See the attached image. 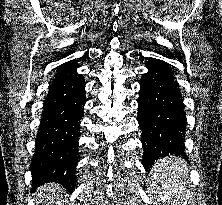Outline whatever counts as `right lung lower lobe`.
<instances>
[{"instance_id":"1","label":"right lung lower lobe","mask_w":222,"mask_h":205,"mask_svg":"<svg viewBox=\"0 0 222 205\" xmlns=\"http://www.w3.org/2000/svg\"><path fill=\"white\" fill-rule=\"evenodd\" d=\"M84 86L83 75L77 74L76 68L55 74L44 102L36 152L30 166L32 190L48 182L74 190L79 123L86 102Z\"/></svg>"}]
</instances>
